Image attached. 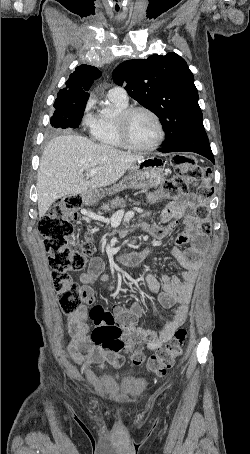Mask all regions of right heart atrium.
<instances>
[{"label": "right heart atrium", "instance_id": "d8ad5b80", "mask_svg": "<svg viewBox=\"0 0 250 454\" xmlns=\"http://www.w3.org/2000/svg\"><path fill=\"white\" fill-rule=\"evenodd\" d=\"M84 124L86 127H88L89 129L92 127V124H93V119H92V116L87 114L84 118Z\"/></svg>", "mask_w": 250, "mask_h": 454}]
</instances>
